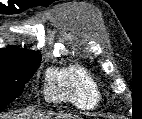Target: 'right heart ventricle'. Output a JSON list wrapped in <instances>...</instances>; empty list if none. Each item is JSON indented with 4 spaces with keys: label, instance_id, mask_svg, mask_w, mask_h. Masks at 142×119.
Instances as JSON below:
<instances>
[{
    "label": "right heart ventricle",
    "instance_id": "1",
    "mask_svg": "<svg viewBox=\"0 0 142 119\" xmlns=\"http://www.w3.org/2000/svg\"><path fill=\"white\" fill-rule=\"evenodd\" d=\"M46 98L50 101H65L77 108H96L100 90L96 81L82 67L71 65L47 74Z\"/></svg>",
    "mask_w": 142,
    "mask_h": 119
}]
</instances>
